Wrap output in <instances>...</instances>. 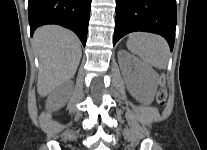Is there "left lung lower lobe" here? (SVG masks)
Returning a JSON list of instances; mask_svg holds the SVG:
<instances>
[{
    "label": "left lung lower lobe",
    "instance_id": "1",
    "mask_svg": "<svg viewBox=\"0 0 207 150\" xmlns=\"http://www.w3.org/2000/svg\"><path fill=\"white\" fill-rule=\"evenodd\" d=\"M175 29V0H116L113 45L130 32L144 31L163 36L172 50Z\"/></svg>",
    "mask_w": 207,
    "mask_h": 150
}]
</instances>
